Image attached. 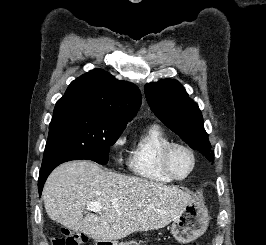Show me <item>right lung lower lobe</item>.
Returning a JSON list of instances; mask_svg holds the SVG:
<instances>
[{"label": "right lung lower lobe", "mask_w": 266, "mask_h": 245, "mask_svg": "<svg viewBox=\"0 0 266 245\" xmlns=\"http://www.w3.org/2000/svg\"><path fill=\"white\" fill-rule=\"evenodd\" d=\"M70 161L69 159H57L54 161H51L49 163L43 164L40 169L39 179H38V190L39 195L41 196L42 189L44 186V183L48 177V175L51 173V171L56 168L58 165H60L63 162Z\"/></svg>", "instance_id": "obj_1"}]
</instances>
